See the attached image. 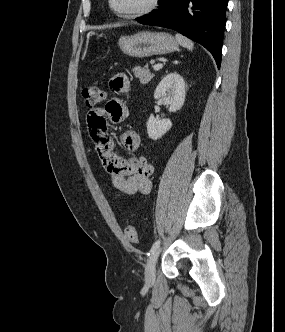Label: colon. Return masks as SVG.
I'll list each match as a JSON object with an SVG mask.
<instances>
[{"instance_id": "obj_1", "label": "colon", "mask_w": 285, "mask_h": 332, "mask_svg": "<svg viewBox=\"0 0 285 332\" xmlns=\"http://www.w3.org/2000/svg\"><path fill=\"white\" fill-rule=\"evenodd\" d=\"M82 96L85 106L90 110H94L104 100L105 93L97 86H89L83 90ZM124 233L128 241L134 243L138 240L137 228L132 224L125 227Z\"/></svg>"}]
</instances>
